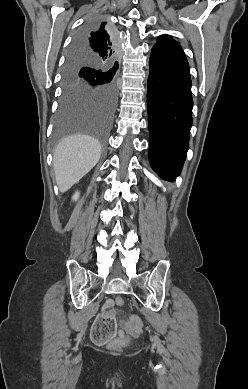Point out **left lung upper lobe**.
<instances>
[{
    "label": "left lung upper lobe",
    "mask_w": 248,
    "mask_h": 389,
    "mask_svg": "<svg viewBox=\"0 0 248 389\" xmlns=\"http://www.w3.org/2000/svg\"><path fill=\"white\" fill-rule=\"evenodd\" d=\"M155 45L170 46V45H179V43L176 42L170 35H161Z\"/></svg>",
    "instance_id": "5c2ea615"
}]
</instances>
